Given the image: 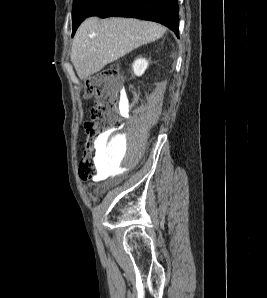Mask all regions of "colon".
<instances>
[{
  "label": "colon",
  "mask_w": 267,
  "mask_h": 298,
  "mask_svg": "<svg viewBox=\"0 0 267 298\" xmlns=\"http://www.w3.org/2000/svg\"><path fill=\"white\" fill-rule=\"evenodd\" d=\"M120 83V74L113 68L103 70L86 82L84 96L94 98V105L89 120L84 124L86 145L79 163V174L84 180L92 179L99 173L95 157L102 136L110 128L121 124L117 112Z\"/></svg>",
  "instance_id": "1"
}]
</instances>
